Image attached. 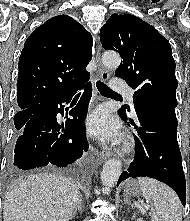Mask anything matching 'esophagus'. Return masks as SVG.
<instances>
[{
  "instance_id": "obj_1",
  "label": "esophagus",
  "mask_w": 190,
  "mask_h": 221,
  "mask_svg": "<svg viewBox=\"0 0 190 221\" xmlns=\"http://www.w3.org/2000/svg\"><path fill=\"white\" fill-rule=\"evenodd\" d=\"M95 63L97 65V74L100 79L103 81H107L109 79V73L108 71L102 66L101 58H100V45L97 43L96 45V54H95ZM110 157V154L108 152H100L99 158L102 160H106Z\"/></svg>"
}]
</instances>
